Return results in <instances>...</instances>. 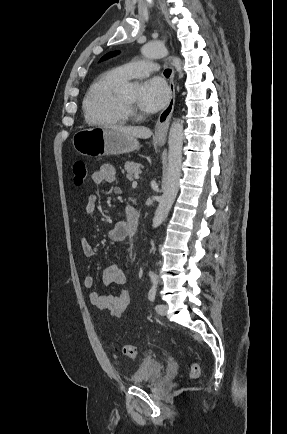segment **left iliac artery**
I'll return each instance as SVG.
<instances>
[{"instance_id": "1", "label": "left iliac artery", "mask_w": 287, "mask_h": 434, "mask_svg": "<svg viewBox=\"0 0 287 434\" xmlns=\"http://www.w3.org/2000/svg\"><path fill=\"white\" fill-rule=\"evenodd\" d=\"M150 278L152 280V287L148 293V298L150 301H154L156 297L157 285H158V276L154 272H150Z\"/></svg>"}]
</instances>
